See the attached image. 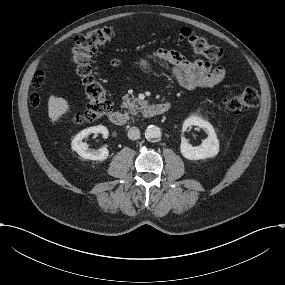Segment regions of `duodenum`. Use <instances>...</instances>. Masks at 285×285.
I'll return each mask as SVG.
<instances>
[{"instance_id":"410a0bca","label":"duodenum","mask_w":285,"mask_h":285,"mask_svg":"<svg viewBox=\"0 0 285 285\" xmlns=\"http://www.w3.org/2000/svg\"><path fill=\"white\" fill-rule=\"evenodd\" d=\"M172 108V102L166 101L162 103H153L145 109V115L148 117H155L167 113ZM109 120L116 126H125L127 119L121 111L112 110L108 114Z\"/></svg>"}]
</instances>
